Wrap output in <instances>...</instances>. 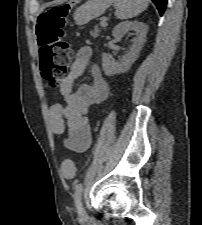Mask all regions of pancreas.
<instances>
[{"mask_svg":"<svg viewBox=\"0 0 202 225\" xmlns=\"http://www.w3.org/2000/svg\"><path fill=\"white\" fill-rule=\"evenodd\" d=\"M104 27H106V26H104ZM99 33H100V29L96 26V27L94 28V30L91 31V36H92L93 38H97V37L99 36Z\"/></svg>","mask_w":202,"mask_h":225,"instance_id":"pancreas-1","label":"pancreas"}]
</instances>
